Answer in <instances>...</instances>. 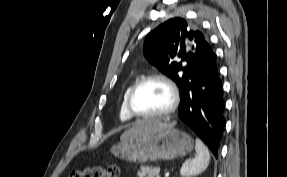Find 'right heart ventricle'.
Listing matches in <instances>:
<instances>
[{"label":"right heart ventricle","instance_id":"right-heart-ventricle-1","mask_svg":"<svg viewBox=\"0 0 287 177\" xmlns=\"http://www.w3.org/2000/svg\"><path fill=\"white\" fill-rule=\"evenodd\" d=\"M138 79H139V76H137V75L132 76L131 79L129 80L127 86L124 89L122 101L120 104V118L124 121H131L133 119V116H131L127 110L126 99H127V96H128L130 89L136 83V81Z\"/></svg>","mask_w":287,"mask_h":177}]
</instances>
